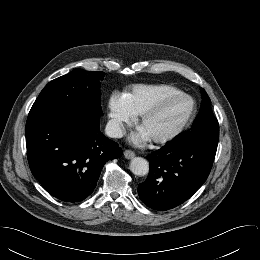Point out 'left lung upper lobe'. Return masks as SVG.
Instances as JSON below:
<instances>
[{"label": "left lung upper lobe", "instance_id": "left-lung-upper-lobe-1", "mask_svg": "<svg viewBox=\"0 0 260 260\" xmlns=\"http://www.w3.org/2000/svg\"><path fill=\"white\" fill-rule=\"evenodd\" d=\"M201 93L202 104L199 115L192 125V130L181 135L177 140L181 142H202L217 145L219 140V124L213 115L210 98L203 88H201Z\"/></svg>", "mask_w": 260, "mask_h": 260}]
</instances>
